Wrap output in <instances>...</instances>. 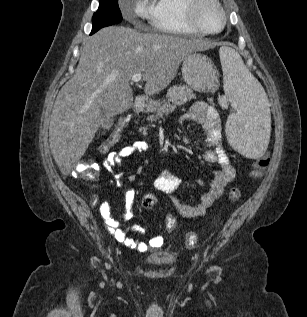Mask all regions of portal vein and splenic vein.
<instances>
[{"label":"portal vein and splenic vein","mask_w":307,"mask_h":317,"mask_svg":"<svg viewBox=\"0 0 307 317\" xmlns=\"http://www.w3.org/2000/svg\"><path fill=\"white\" fill-rule=\"evenodd\" d=\"M141 79H142L141 73L135 74L131 77V81L135 83L139 82Z\"/></svg>","instance_id":"obj_1"}]
</instances>
